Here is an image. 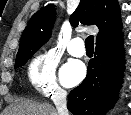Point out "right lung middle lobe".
<instances>
[{"instance_id": "right-lung-middle-lobe-1", "label": "right lung middle lobe", "mask_w": 131, "mask_h": 115, "mask_svg": "<svg viewBox=\"0 0 131 115\" xmlns=\"http://www.w3.org/2000/svg\"><path fill=\"white\" fill-rule=\"evenodd\" d=\"M37 50H29L27 52H25L24 54L17 56L16 57V62H15V69L21 67L22 65H24L28 59L30 57H32V55L36 52Z\"/></svg>"}]
</instances>
